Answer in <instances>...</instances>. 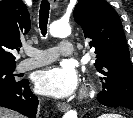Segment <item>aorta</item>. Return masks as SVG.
Masks as SVG:
<instances>
[{
    "mask_svg": "<svg viewBox=\"0 0 133 118\" xmlns=\"http://www.w3.org/2000/svg\"><path fill=\"white\" fill-rule=\"evenodd\" d=\"M49 32L53 37L64 38L71 34V28L69 24L63 22H53L50 25ZM63 118H77L76 110L67 111Z\"/></svg>",
    "mask_w": 133,
    "mask_h": 118,
    "instance_id": "1",
    "label": "aorta"
}]
</instances>
